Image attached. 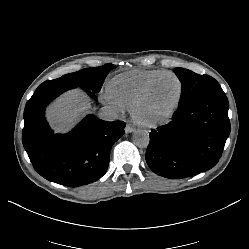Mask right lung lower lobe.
<instances>
[{
    "label": "right lung lower lobe",
    "mask_w": 249,
    "mask_h": 249,
    "mask_svg": "<svg viewBox=\"0 0 249 249\" xmlns=\"http://www.w3.org/2000/svg\"><path fill=\"white\" fill-rule=\"evenodd\" d=\"M67 90L62 87L35 91L24 110L22 140L41 176L58 184L78 187L106 173L110 150L124 134L125 123L106 122L88 115L69 133L54 134L45 119V108Z\"/></svg>",
    "instance_id": "right-lung-lower-lobe-1"
}]
</instances>
